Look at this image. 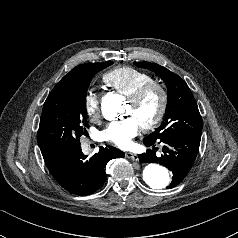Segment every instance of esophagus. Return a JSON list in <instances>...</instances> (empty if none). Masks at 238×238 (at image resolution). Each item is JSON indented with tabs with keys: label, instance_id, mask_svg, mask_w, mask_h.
Masks as SVG:
<instances>
[{
	"label": "esophagus",
	"instance_id": "esophagus-1",
	"mask_svg": "<svg viewBox=\"0 0 238 238\" xmlns=\"http://www.w3.org/2000/svg\"><path fill=\"white\" fill-rule=\"evenodd\" d=\"M125 156H126L127 158H129V159L134 160V161H138V160H139L138 155H136V154H134V153H132V152H126V153H125Z\"/></svg>",
	"mask_w": 238,
	"mask_h": 238
}]
</instances>
